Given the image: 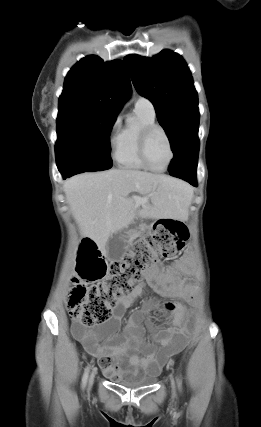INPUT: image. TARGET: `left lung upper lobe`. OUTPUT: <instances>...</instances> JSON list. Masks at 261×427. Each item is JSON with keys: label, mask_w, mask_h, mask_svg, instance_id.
I'll return each instance as SVG.
<instances>
[{"label": "left lung upper lobe", "mask_w": 261, "mask_h": 427, "mask_svg": "<svg viewBox=\"0 0 261 427\" xmlns=\"http://www.w3.org/2000/svg\"><path fill=\"white\" fill-rule=\"evenodd\" d=\"M137 92L154 105L157 119L175 152L182 138L198 130V95L184 59L170 50L152 58H124Z\"/></svg>", "instance_id": "left-lung-upper-lobe-1"}]
</instances>
